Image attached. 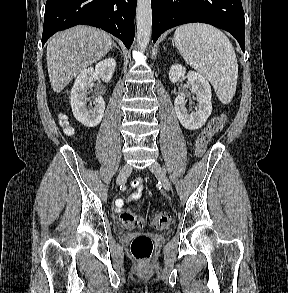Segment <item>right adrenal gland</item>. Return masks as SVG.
Returning <instances> with one entry per match:
<instances>
[{"label":"right adrenal gland","mask_w":288,"mask_h":293,"mask_svg":"<svg viewBox=\"0 0 288 293\" xmlns=\"http://www.w3.org/2000/svg\"><path fill=\"white\" fill-rule=\"evenodd\" d=\"M113 47L119 49V47L116 45V43L113 42Z\"/></svg>","instance_id":"obj_1"}]
</instances>
